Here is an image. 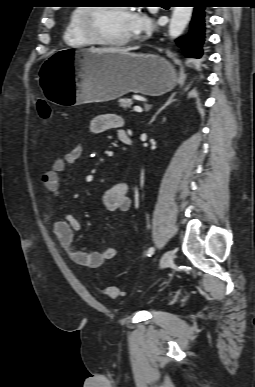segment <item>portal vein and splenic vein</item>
<instances>
[{
  "mask_svg": "<svg viewBox=\"0 0 255 387\" xmlns=\"http://www.w3.org/2000/svg\"><path fill=\"white\" fill-rule=\"evenodd\" d=\"M133 110H134L135 112H138V113H141V112L143 111L142 108H141L140 106H134Z\"/></svg>",
  "mask_w": 255,
  "mask_h": 387,
  "instance_id": "obj_1",
  "label": "portal vein and splenic vein"
}]
</instances>
